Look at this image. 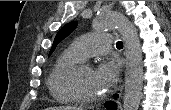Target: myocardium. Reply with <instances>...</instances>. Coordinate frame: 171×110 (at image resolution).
Masks as SVG:
<instances>
[{
    "label": "myocardium",
    "mask_w": 171,
    "mask_h": 110,
    "mask_svg": "<svg viewBox=\"0 0 171 110\" xmlns=\"http://www.w3.org/2000/svg\"><path fill=\"white\" fill-rule=\"evenodd\" d=\"M85 67H90V66L86 64L84 61H81L66 71V73L64 74L65 88L78 102L87 103V104L99 102L106 97L105 93L93 97L86 96L79 88L78 75Z\"/></svg>",
    "instance_id": "f54148a6"
}]
</instances>
